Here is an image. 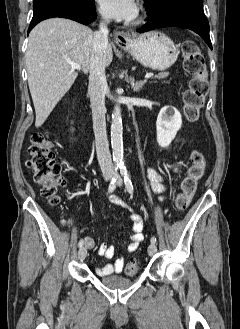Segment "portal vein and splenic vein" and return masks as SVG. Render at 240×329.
<instances>
[{
  "label": "portal vein and splenic vein",
  "mask_w": 240,
  "mask_h": 329,
  "mask_svg": "<svg viewBox=\"0 0 240 329\" xmlns=\"http://www.w3.org/2000/svg\"><path fill=\"white\" fill-rule=\"evenodd\" d=\"M71 67H72V69H81V66L79 64H76V63H71ZM153 75H154L153 73H147L145 75V78L149 79V78L153 77Z\"/></svg>",
  "instance_id": "18ae733b"
}]
</instances>
